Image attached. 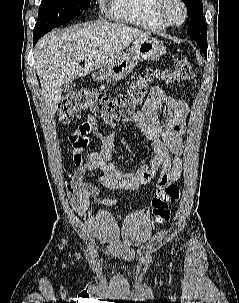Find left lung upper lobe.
I'll return each instance as SVG.
<instances>
[{
    "mask_svg": "<svg viewBox=\"0 0 239 303\" xmlns=\"http://www.w3.org/2000/svg\"><path fill=\"white\" fill-rule=\"evenodd\" d=\"M187 7L188 17L191 22L187 33L199 45L200 49L207 54V28L203 17V6L201 0H183Z\"/></svg>",
    "mask_w": 239,
    "mask_h": 303,
    "instance_id": "obj_1",
    "label": "left lung upper lobe"
}]
</instances>
